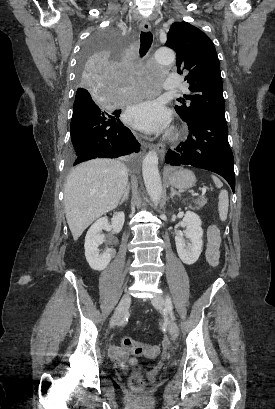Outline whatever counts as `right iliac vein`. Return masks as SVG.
I'll return each mask as SVG.
<instances>
[{"mask_svg": "<svg viewBox=\"0 0 275 409\" xmlns=\"http://www.w3.org/2000/svg\"><path fill=\"white\" fill-rule=\"evenodd\" d=\"M130 302H131V295L129 292H126L120 303L118 304L112 318L110 321V327L113 328L122 318V316L124 315V313L127 311V309L130 306Z\"/></svg>", "mask_w": 275, "mask_h": 409, "instance_id": "obj_1", "label": "right iliac vein"}]
</instances>
